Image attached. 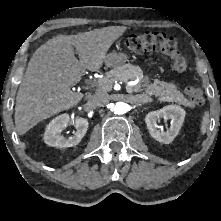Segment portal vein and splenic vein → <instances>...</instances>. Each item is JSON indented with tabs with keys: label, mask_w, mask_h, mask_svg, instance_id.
I'll return each mask as SVG.
<instances>
[{
	"label": "portal vein and splenic vein",
	"mask_w": 221,
	"mask_h": 221,
	"mask_svg": "<svg viewBox=\"0 0 221 221\" xmlns=\"http://www.w3.org/2000/svg\"><path fill=\"white\" fill-rule=\"evenodd\" d=\"M134 81H129V82H126L125 85H126V88L129 92H131V89L130 87L134 85ZM102 85V82L101 81H98V84L96 86H101Z\"/></svg>",
	"instance_id": "portal-vein-and-splenic-vein-1"
}]
</instances>
